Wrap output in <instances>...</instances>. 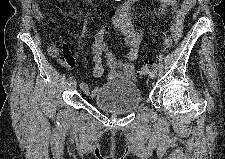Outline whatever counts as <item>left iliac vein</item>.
Returning <instances> with one entry per match:
<instances>
[{"label": "left iliac vein", "mask_w": 225, "mask_h": 159, "mask_svg": "<svg viewBox=\"0 0 225 159\" xmlns=\"http://www.w3.org/2000/svg\"><path fill=\"white\" fill-rule=\"evenodd\" d=\"M151 79H155L157 77V69H152L150 72Z\"/></svg>", "instance_id": "obj_1"}]
</instances>
